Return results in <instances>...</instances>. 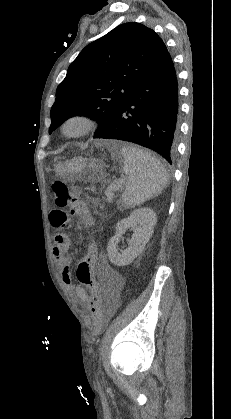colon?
<instances>
[{"instance_id": "obj_1", "label": "colon", "mask_w": 231, "mask_h": 419, "mask_svg": "<svg viewBox=\"0 0 231 419\" xmlns=\"http://www.w3.org/2000/svg\"><path fill=\"white\" fill-rule=\"evenodd\" d=\"M51 190L55 196L56 205L59 207H69L70 214L80 219L79 225L82 228L90 226L91 220L85 203L79 199L77 194L72 191L64 182L54 181L51 184ZM69 224V223H68ZM85 252L82 253L79 263L76 265L74 278L81 283L88 295L85 298L87 304H90V311L94 318L95 334L102 330V297L100 284L96 281L95 273H92L93 265L99 255V250L95 244L86 245Z\"/></svg>"}]
</instances>
